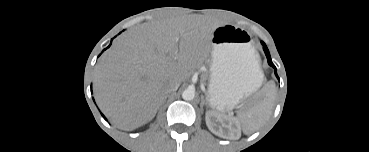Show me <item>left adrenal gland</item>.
Instances as JSON below:
<instances>
[{
    "instance_id": "left-adrenal-gland-1",
    "label": "left adrenal gland",
    "mask_w": 369,
    "mask_h": 152,
    "mask_svg": "<svg viewBox=\"0 0 369 152\" xmlns=\"http://www.w3.org/2000/svg\"><path fill=\"white\" fill-rule=\"evenodd\" d=\"M201 99H202V101H201L200 107L202 109L204 105H207V102L205 101L204 96H201Z\"/></svg>"
}]
</instances>
